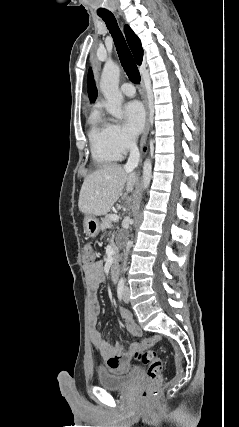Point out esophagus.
<instances>
[{
    "label": "esophagus",
    "instance_id": "1",
    "mask_svg": "<svg viewBox=\"0 0 239 427\" xmlns=\"http://www.w3.org/2000/svg\"><path fill=\"white\" fill-rule=\"evenodd\" d=\"M141 88L143 90L144 104H145V108H146V125H145V130L143 132L141 142H140V150L142 151L143 147L146 144L147 135H148L149 129H150V110H149L148 100H147V96H146V86H145L143 80L141 82Z\"/></svg>",
    "mask_w": 239,
    "mask_h": 427
}]
</instances>
